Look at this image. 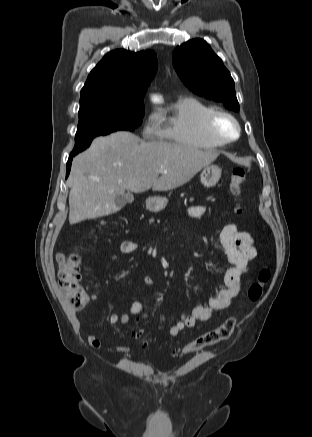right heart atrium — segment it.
Instances as JSON below:
<instances>
[{
	"instance_id": "1",
	"label": "right heart atrium",
	"mask_w": 312,
	"mask_h": 437,
	"mask_svg": "<svg viewBox=\"0 0 312 437\" xmlns=\"http://www.w3.org/2000/svg\"><path fill=\"white\" fill-rule=\"evenodd\" d=\"M142 134L144 138L148 140H160L162 139V129L159 125V118L157 114L150 113L144 122L142 128Z\"/></svg>"
}]
</instances>
